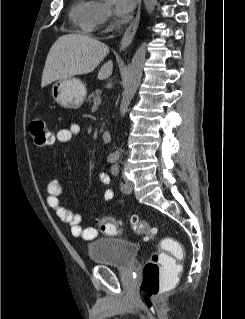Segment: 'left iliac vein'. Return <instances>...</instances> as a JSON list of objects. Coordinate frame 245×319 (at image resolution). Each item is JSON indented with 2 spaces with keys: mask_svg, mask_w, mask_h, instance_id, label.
Instances as JSON below:
<instances>
[{
  "mask_svg": "<svg viewBox=\"0 0 245 319\" xmlns=\"http://www.w3.org/2000/svg\"><path fill=\"white\" fill-rule=\"evenodd\" d=\"M124 181H125V184H126V190L124 192L130 193L132 191V189H133L132 183L126 176H124Z\"/></svg>",
  "mask_w": 245,
  "mask_h": 319,
  "instance_id": "4c4485c4",
  "label": "left iliac vein"
}]
</instances>
